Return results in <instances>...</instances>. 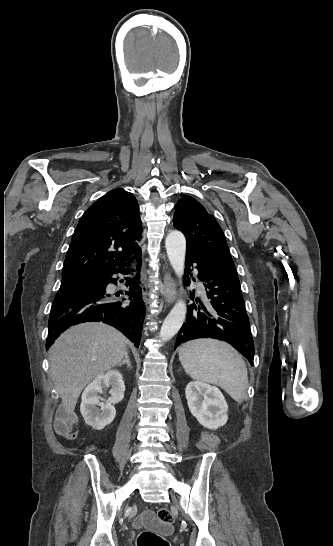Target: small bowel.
Listing matches in <instances>:
<instances>
[{
  "label": "small bowel",
  "instance_id": "small-bowel-1",
  "mask_svg": "<svg viewBox=\"0 0 333 546\" xmlns=\"http://www.w3.org/2000/svg\"><path fill=\"white\" fill-rule=\"evenodd\" d=\"M72 416L59 418L54 423L56 432L69 439H75L77 437V431L71 429ZM154 523V516L151 511L144 512L139 518L135 520V525H151Z\"/></svg>",
  "mask_w": 333,
  "mask_h": 546
}]
</instances>
